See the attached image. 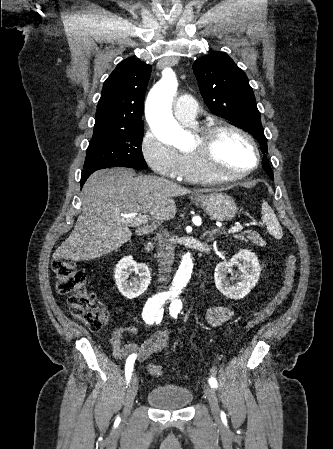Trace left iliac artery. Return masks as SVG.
Masks as SVG:
<instances>
[{
	"label": "left iliac artery",
	"mask_w": 333,
	"mask_h": 449,
	"mask_svg": "<svg viewBox=\"0 0 333 449\" xmlns=\"http://www.w3.org/2000/svg\"><path fill=\"white\" fill-rule=\"evenodd\" d=\"M181 309H182V302L180 300L173 299L169 307L170 315L176 318ZM208 382L211 385V387L217 388V380L215 377L211 376Z\"/></svg>",
	"instance_id": "44dca946"
}]
</instances>
